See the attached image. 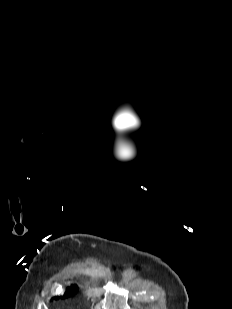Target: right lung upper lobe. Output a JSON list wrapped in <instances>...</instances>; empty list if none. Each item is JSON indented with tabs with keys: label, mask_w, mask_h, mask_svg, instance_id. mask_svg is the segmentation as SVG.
Here are the masks:
<instances>
[{
	"label": "right lung upper lobe",
	"mask_w": 232,
	"mask_h": 309,
	"mask_svg": "<svg viewBox=\"0 0 232 309\" xmlns=\"http://www.w3.org/2000/svg\"><path fill=\"white\" fill-rule=\"evenodd\" d=\"M69 290H74V291H76L77 289L74 287V286H72L71 288H69ZM74 294V293H73ZM55 298H58V297H55Z\"/></svg>",
	"instance_id": "obj_1"
}]
</instances>
